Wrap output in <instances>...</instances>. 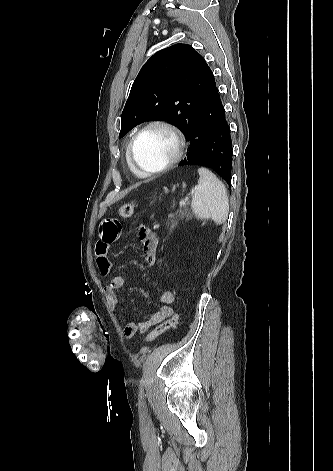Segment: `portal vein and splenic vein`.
Masks as SVG:
<instances>
[{
    "instance_id": "obj_1",
    "label": "portal vein and splenic vein",
    "mask_w": 333,
    "mask_h": 471,
    "mask_svg": "<svg viewBox=\"0 0 333 471\" xmlns=\"http://www.w3.org/2000/svg\"><path fill=\"white\" fill-rule=\"evenodd\" d=\"M186 204H187V199H182V200H180V202H179V206H180V207H183V206H185Z\"/></svg>"
}]
</instances>
